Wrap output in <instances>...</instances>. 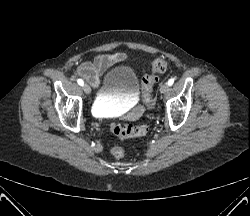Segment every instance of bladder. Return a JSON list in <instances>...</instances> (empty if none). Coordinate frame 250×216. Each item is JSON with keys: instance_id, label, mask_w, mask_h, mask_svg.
<instances>
[{"instance_id": "31cf9c89", "label": "bladder", "mask_w": 250, "mask_h": 216, "mask_svg": "<svg viewBox=\"0 0 250 216\" xmlns=\"http://www.w3.org/2000/svg\"><path fill=\"white\" fill-rule=\"evenodd\" d=\"M139 80L136 72L128 66H116L103 77L93 110L105 115L120 106L128 105L138 96Z\"/></svg>"}]
</instances>
